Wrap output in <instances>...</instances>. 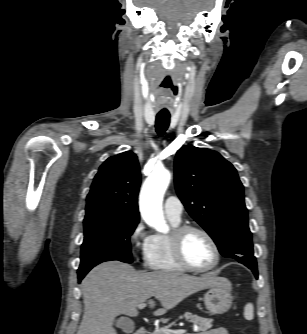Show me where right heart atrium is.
Returning a JSON list of instances; mask_svg holds the SVG:
<instances>
[{
    "label": "right heart atrium",
    "mask_w": 307,
    "mask_h": 334,
    "mask_svg": "<svg viewBox=\"0 0 307 334\" xmlns=\"http://www.w3.org/2000/svg\"><path fill=\"white\" fill-rule=\"evenodd\" d=\"M152 235L147 231L144 222L140 219L136 222L130 233V243L136 256H144L147 253Z\"/></svg>",
    "instance_id": "obj_1"
}]
</instances>
